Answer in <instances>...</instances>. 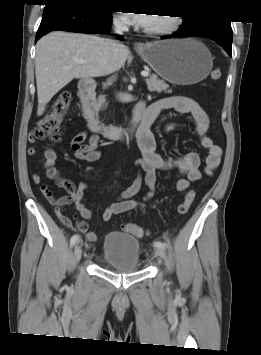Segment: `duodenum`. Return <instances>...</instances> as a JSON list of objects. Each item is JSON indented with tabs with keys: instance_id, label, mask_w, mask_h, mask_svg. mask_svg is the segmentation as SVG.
I'll return each instance as SVG.
<instances>
[{
	"instance_id": "410a0bca",
	"label": "duodenum",
	"mask_w": 261,
	"mask_h": 355,
	"mask_svg": "<svg viewBox=\"0 0 261 355\" xmlns=\"http://www.w3.org/2000/svg\"><path fill=\"white\" fill-rule=\"evenodd\" d=\"M96 89L97 83L94 81H84L79 86V98L83 117L91 131L101 133L109 138H116L119 136H131L143 129L150 128L151 122L142 114V102L136 105L133 121L129 126L123 127L102 123L95 109Z\"/></svg>"
}]
</instances>
